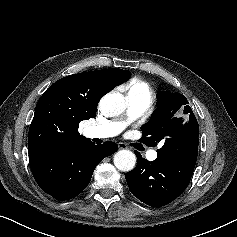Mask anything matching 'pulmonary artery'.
Segmentation results:
<instances>
[{
    "mask_svg": "<svg viewBox=\"0 0 237 237\" xmlns=\"http://www.w3.org/2000/svg\"><path fill=\"white\" fill-rule=\"evenodd\" d=\"M127 119L112 120L104 124L91 125L87 128V136L90 138H110L120 134L128 123L142 115L151 105L152 99L148 95H137L128 93L127 95ZM156 151L148 153V159L155 160Z\"/></svg>",
    "mask_w": 237,
    "mask_h": 237,
    "instance_id": "pulmonary-artery-1",
    "label": "pulmonary artery"
}]
</instances>
